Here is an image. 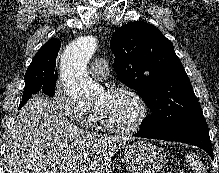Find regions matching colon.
Instances as JSON below:
<instances>
[{"label": "colon", "instance_id": "1", "mask_svg": "<svg viewBox=\"0 0 219 173\" xmlns=\"http://www.w3.org/2000/svg\"><path fill=\"white\" fill-rule=\"evenodd\" d=\"M171 173H184V172L181 170H172Z\"/></svg>", "mask_w": 219, "mask_h": 173}]
</instances>
